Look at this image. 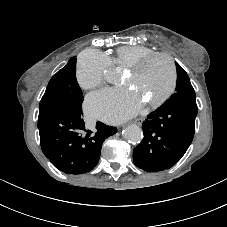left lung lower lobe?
I'll use <instances>...</instances> for the list:
<instances>
[{"label":"left lung lower lobe","instance_id":"0a47b994","mask_svg":"<svg viewBox=\"0 0 227 227\" xmlns=\"http://www.w3.org/2000/svg\"><path fill=\"white\" fill-rule=\"evenodd\" d=\"M197 105L172 102L147 116L144 138L133 150L134 164L149 172L171 168L185 154L195 132Z\"/></svg>","mask_w":227,"mask_h":227}]
</instances>
